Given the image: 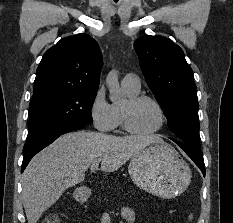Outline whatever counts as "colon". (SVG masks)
<instances>
[{"mask_svg":"<svg viewBox=\"0 0 233 223\" xmlns=\"http://www.w3.org/2000/svg\"><path fill=\"white\" fill-rule=\"evenodd\" d=\"M43 223H59V219L54 214L48 216Z\"/></svg>","mask_w":233,"mask_h":223,"instance_id":"1","label":"colon"}]
</instances>
